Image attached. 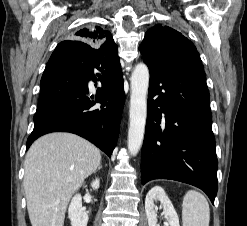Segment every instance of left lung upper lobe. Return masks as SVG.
Here are the masks:
<instances>
[{"mask_svg": "<svg viewBox=\"0 0 247 226\" xmlns=\"http://www.w3.org/2000/svg\"><path fill=\"white\" fill-rule=\"evenodd\" d=\"M139 49L147 63L167 70L187 66L203 68L193 43L168 26L156 25L150 28Z\"/></svg>", "mask_w": 247, "mask_h": 226, "instance_id": "left-lung-upper-lobe-1", "label": "left lung upper lobe"}]
</instances>
